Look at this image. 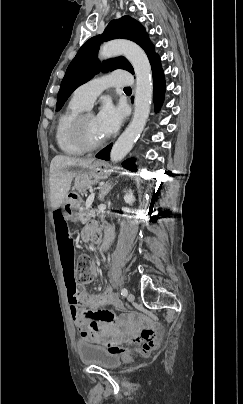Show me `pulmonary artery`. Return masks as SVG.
Segmentation results:
<instances>
[{"mask_svg": "<svg viewBox=\"0 0 243 404\" xmlns=\"http://www.w3.org/2000/svg\"><path fill=\"white\" fill-rule=\"evenodd\" d=\"M123 83L112 74H104L83 83L79 88V98L89 109L93 101L107 88L120 87Z\"/></svg>", "mask_w": 243, "mask_h": 404, "instance_id": "1", "label": "pulmonary artery"}]
</instances>
